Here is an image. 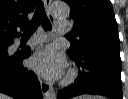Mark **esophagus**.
<instances>
[{
    "mask_svg": "<svg viewBox=\"0 0 128 99\" xmlns=\"http://www.w3.org/2000/svg\"><path fill=\"white\" fill-rule=\"evenodd\" d=\"M50 4H51V0H44V5H45V9H46V13L48 15V18L50 19V21L53 22L55 19L50 12ZM40 85H41V90H42L43 95L44 96L49 95L51 90H52L51 85L46 81H41Z\"/></svg>",
    "mask_w": 128,
    "mask_h": 99,
    "instance_id": "34e87169",
    "label": "esophagus"
}]
</instances>
